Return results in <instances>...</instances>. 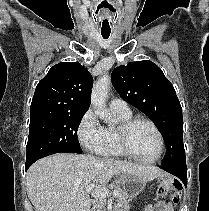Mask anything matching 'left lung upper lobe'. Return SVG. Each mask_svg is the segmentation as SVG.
Segmentation results:
<instances>
[{
    "instance_id": "left-lung-upper-lobe-1",
    "label": "left lung upper lobe",
    "mask_w": 209,
    "mask_h": 211,
    "mask_svg": "<svg viewBox=\"0 0 209 211\" xmlns=\"http://www.w3.org/2000/svg\"><path fill=\"white\" fill-rule=\"evenodd\" d=\"M119 95L153 120L164 137L166 154L162 165L185 162L182 108L175 89L152 61L130 62L112 72Z\"/></svg>"
}]
</instances>
